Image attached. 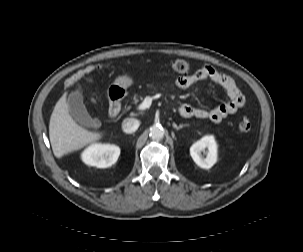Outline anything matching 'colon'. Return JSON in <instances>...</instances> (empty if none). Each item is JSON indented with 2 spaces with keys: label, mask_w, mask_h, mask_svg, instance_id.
Instances as JSON below:
<instances>
[{
  "label": "colon",
  "mask_w": 303,
  "mask_h": 252,
  "mask_svg": "<svg viewBox=\"0 0 303 252\" xmlns=\"http://www.w3.org/2000/svg\"><path fill=\"white\" fill-rule=\"evenodd\" d=\"M170 68L173 71L178 72V73H188L191 69V66H190L189 62H187L185 60L177 59V60H173L170 63ZM104 69H105V66L102 64L89 66V67L77 72L74 76H72L68 80V83H73L85 75L92 74L93 72H96V71H102ZM251 128H252L251 123L247 119H241L238 123V130L243 134L250 133Z\"/></svg>",
  "instance_id": "colon-1"
}]
</instances>
